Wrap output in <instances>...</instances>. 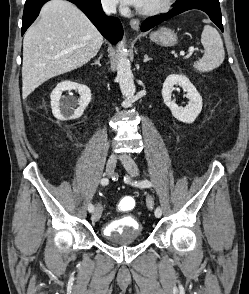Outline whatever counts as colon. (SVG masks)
<instances>
[{
    "label": "colon",
    "instance_id": "colon-1",
    "mask_svg": "<svg viewBox=\"0 0 249 294\" xmlns=\"http://www.w3.org/2000/svg\"><path fill=\"white\" fill-rule=\"evenodd\" d=\"M135 200L132 197H123L118 203V209L123 212L132 210L135 207Z\"/></svg>",
    "mask_w": 249,
    "mask_h": 294
}]
</instances>
